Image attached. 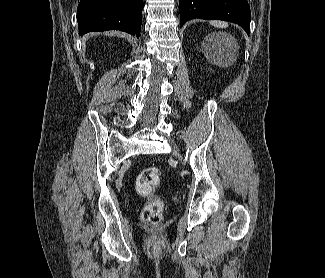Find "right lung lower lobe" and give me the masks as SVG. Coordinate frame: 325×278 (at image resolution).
Listing matches in <instances>:
<instances>
[{
	"mask_svg": "<svg viewBox=\"0 0 325 278\" xmlns=\"http://www.w3.org/2000/svg\"><path fill=\"white\" fill-rule=\"evenodd\" d=\"M142 9L143 0H81L77 11L79 33L114 29L139 37Z\"/></svg>",
	"mask_w": 325,
	"mask_h": 278,
	"instance_id": "obj_1",
	"label": "right lung lower lobe"
}]
</instances>
